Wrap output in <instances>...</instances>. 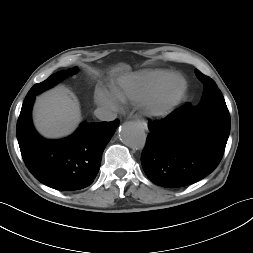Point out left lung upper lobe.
<instances>
[{
	"instance_id": "5c2ea615",
	"label": "left lung upper lobe",
	"mask_w": 253,
	"mask_h": 253,
	"mask_svg": "<svg viewBox=\"0 0 253 253\" xmlns=\"http://www.w3.org/2000/svg\"><path fill=\"white\" fill-rule=\"evenodd\" d=\"M197 78L203 83L204 91L202 100L198 106L203 105L207 102H224L223 95L218 89L216 83L209 77L203 75L199 70L195 71Z\"/></svg>"
}]
</instances>
